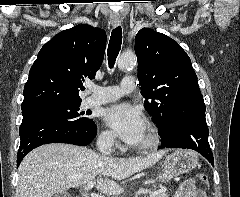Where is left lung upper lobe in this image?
Here are the masks:
<instances>
[{"mask_svg":"<svg viewBox=\"0 0 240 197\" xmlns=\"http://www.w3.org/2000/svg\"><path fill=\"white\" fill-rule=\"evenodd\" d=\"M135 53L144 106L153 120L181 113L193 97L203 99L191 60L176 41L142 28L135 37Z\"/></svg>","mask_w":240,"mask_h":197,"instance_id":"obj_1","label":"left lung upper lobe"}]
</instances>
